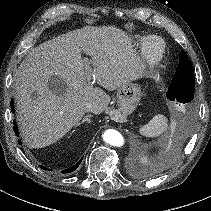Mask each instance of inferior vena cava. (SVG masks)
Wrapping results in <instances>:
<instances>
[{
  "label": "inferior vena cava",
  "instance_id": "inferior-vena-cava-1",
  "mask_svg": "<svg viewBox=\"0 0 211 211\" xmlns=\"http://www.w3.org/2000/svg\"><path fill=\"white\" fill-rule=\"evenodd\" d=\"M85 109H86V112L93 113L95 111L94 105L92 103H87Z\"/></svg>",
  "mask_w": 211,
  "mask_h": 211
}]
</instances>
